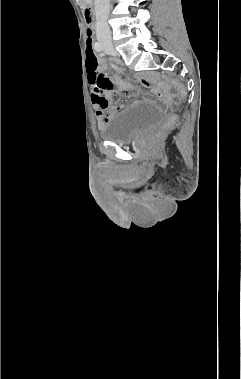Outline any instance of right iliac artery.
<instances>
[{"label":"right iliac artery","mask_w":241,"mask_h":379,"mask_svg":"<svg viewBox=\"0 0 241 379\" xmlns=\"http://www.w3.org/2000/svg\"><path fill=\"white\" fill-rule=\"evenodd\" d=\"M94 48H95V50L98 51V52H101V51H102V46H101L100 43H98V42H95V44H94Z\"/></svg>","instance_id":"right-iliac-artery-1"}]
</instances>
